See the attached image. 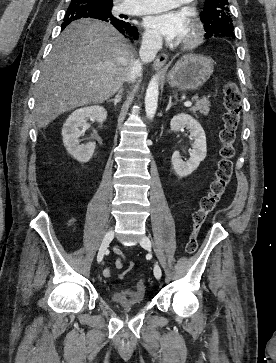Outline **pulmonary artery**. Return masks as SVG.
Instances as JSON below:
<instances>
[{
    "label": "pulmonary artery",
    "mask_w": 276,
    "mask_h": 363,
    "mask_svg": "<svg viewBox=\"0 0 276 363\" xmlns=\"http://www.w3.org/2000/svg\"><path fill=\"white\" fill-rule=\"evenodd\" d=\"M191 0H125L124 11L133 14H150L169 10Z\"/></svg>",
    "instance_id": "pulmonary-artery-1"
}]
</instances>
